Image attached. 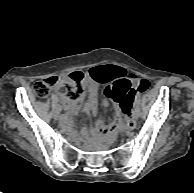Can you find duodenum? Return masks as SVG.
Returning a JSON list of instances; mask_svg holds the SVG:
<instances>
[{"label":"duodenum","instance_id":"obj_1","mask_svg":"<svg viewBox=\"0 0 194 193\" xmlns=\"http://www.w3.org/2000/svg\"><path fill=\"white\" fill-rule=\"evenodd\" d=\"M97 138L95 136L91 137L92 141H95Z\"/></svg>","mask_w":194,"mask_h":193}]
</instances>
